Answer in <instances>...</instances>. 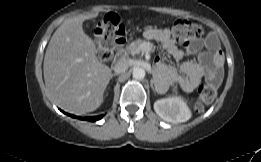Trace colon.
I'll list each match as a JSON object with an SVG mask.
<instances>
[{
	"label": "colon",
	"mask_w": 261,
	"mask_h": 162,
	"mask_svg": "<svg viewBox=\"0 0 261 162\" xmlns=\"http://www.w3.org/2000/svg\"><path fill=\"white\" fill-rule=\"evenodd\" d=\"M203 30L200 25L186 19H178L171 26L173 38L188 45L191 41L201 37ZM95 37L98 42L97 54L102 60H109L113 56L116 44L125 42V28L115 13H108L95 26ZM216 96V85L210 81L199 88V97L195 103V110L202 112L206 104L211 103Z\"/></svg>",
	"instance_id": "1"
}]
</instances>
